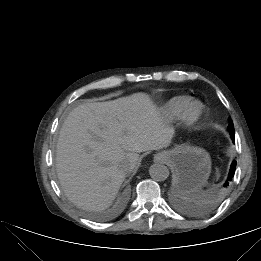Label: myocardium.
<instances>
[{"label":"myocardium","instance_id":"1","mask_svg":"<svg viewBox=\"0 0 261 261\" xmlns=\"http://www.w3.org/2000/svg\"><path fill=\"white\" fill-rule=\"evenodd\" d=\"M203 110L204 106L202 103L198 101L192 102L182 116L184 124L186 126L193 125L200 118Z\"/></svg>","mask_w":261,"mask_h":261}]
</instances>
